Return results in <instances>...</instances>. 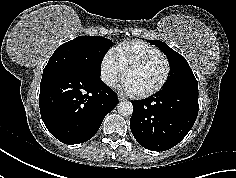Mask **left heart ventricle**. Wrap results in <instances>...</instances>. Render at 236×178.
I'll return each instance as SVG.
<instances>
[{"label": "left heart ventricle", "instance_id": "left-heart-ventricle-1", "mask_svg": "<svg viewBox=\"0 0 236 178\" xmlns=\"http://www.w3.org/2000/svg\"><path fill=\"white\" fill-rule=\"evenodd\" d=\"M165 71L164 60L156 58L131 70L124 80L133 92L140 93L156 87L162 80Z\"/></svg>", "mask_w": 236, "mask_h": 178}]
</instances>
